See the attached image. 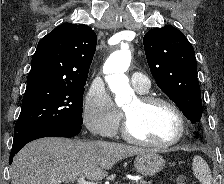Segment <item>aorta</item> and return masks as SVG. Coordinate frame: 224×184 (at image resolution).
I'll return each instance as SVG.
<instances>
[{
    "label": "aorta",
    "mask_w": 224,
    "mask_h": 184,
    "mask_svg": "<svg viewBox=\"0 0 224 184\" xmlns=\"http://www.w3.org/2000/svg\"><path fill=\"white\" fill-rule=\"evenodd\" d=\"M131 63L129 45L121 44V49L112 53L103 66L106 82L110 90L115 93V102L121 106L134 97V91L125 75Z\"/></svg>",
    "instance_id": "aorta-1"
}]
</instances>
